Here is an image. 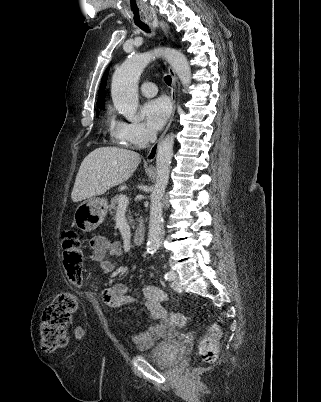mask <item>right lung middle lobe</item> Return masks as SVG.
I'll return each mask as SVG.
<instances>
[{"label": "right lung middle lobe", "mask_w": 321, "mask_h": 402, "mask_svg": "<svg viewBox=\"0 0 321 402\" xmlns=\"http://www.w3.org/2000/svg\"><path fill=\"white\" fill-rule=\"evenodd\" d=\"M99 108L103 110V109H104V106H102V107H99ZM97 115H98V111H97Z\"/></svg>", "instance_id": "1"}]
</instances>
